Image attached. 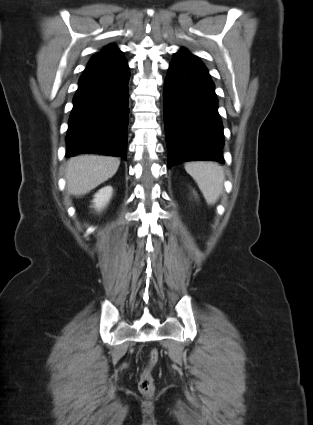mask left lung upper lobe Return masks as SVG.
I'll list each match as a JSON object with an SVG mask.
<instances>
[{"mask_svg": "<svg viewBox=\"0 0 313 425\" xmlns=\"http://www.w3.org/2000/svg\"><path fill=\"white\" fill-rule=\"evenodd\" d=\"M179 52H184V53H187V54H189V55H191V56H193V57H195L193 54H191L190 52H188L187 50H185V49H181Z\"/></svg>", "mask_w": 313, "mask_h": 425, "instance_id": "obj_1", "label": "left lung upper lobe"}]
</instances>
